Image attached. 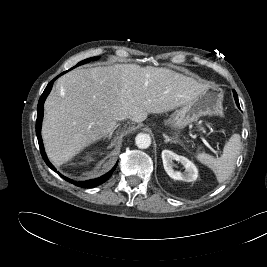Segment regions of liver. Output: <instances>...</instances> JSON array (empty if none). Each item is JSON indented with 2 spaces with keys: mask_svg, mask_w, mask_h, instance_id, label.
Instances as JSON below:
<instances>
[{
  "mask_svg": "<svg viewBox=\"0 0 267 267\" xmlns=\"http://www.w3.org/2000/svg\"><path fill=\"white\" fill-rule=\"evenodd\" d=\"M209 88L166 68L115 64L61 76L44 103L42 138L56 164L102 139L118 117L141 123L149 113L180 107Z\"/></svg>",
  "mask_w": 267,
  "mask_h": 267,
  "instance_id": "obj_1",
  "label": "liver"
}]
</instances>
